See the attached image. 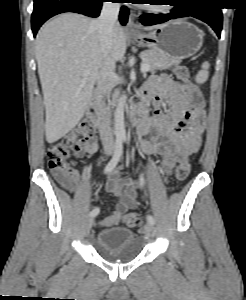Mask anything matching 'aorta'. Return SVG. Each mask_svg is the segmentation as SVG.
I'll use <instances>...</instances> for the list:
<instances>
[{
    "label": "aorta",
    "mask_w": 246,
    "mask_h": 300,
    "mask_svg": "<svg viewBox=\"0 0 246 300\" xmlns=\"http://www.w3.org/2000/svg\"><path fill=\"white\" fill-rule=\"evenodd\" d=\"M127 96L123 94L117 103L114 113V133L117 139H126L124 111Z\"/></svg>",
    "instance_id": "aorta-1"
}]
</instances>
